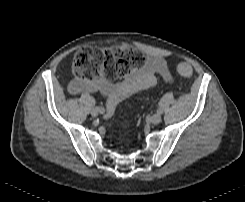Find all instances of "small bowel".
<instances>
[{
	"mask_svg": "<svg viewBox=\"0 0 245 202\" xmlns=\"http://www.w3.org/2000/svg\"><path fill=\"white\" fill-rule=\"evenodd\" d=\"M159 77L168 84L174 83L166 61L160 56H149L142 67L132 69L120 82H111L104 77L78 78L73 80L71 90L73 94L101 92L108 96L109 108L113 111L122 99L154 86Z\"/></svg>",
	"mask_w": 245,
	"mask_h": 202,
	"instance_id": "small-bowel-1",
	"label": "small bowel"
}]
</instances>
